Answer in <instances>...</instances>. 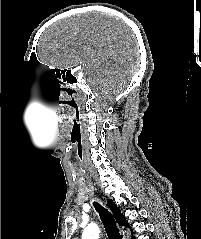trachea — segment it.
I'll use <instances>...</instances> for the list:
<instances>
[{
  "instance_id": "trachea-1",
  "label": "trachea",
  "mask_w": 201,
  "mask_h": 239,
  "mask_svg": "<svg viewBox=\"0 0 201 239\" xmlns=\"http://www.w3.org/2000/svg\"><path fill=\"white\" fill-rule=\"evenodd\" d=\"M93 206L100 215L108 239H122L113 215L98 202H93Z\"/></svg>"
}]
</instances>
